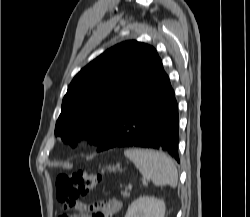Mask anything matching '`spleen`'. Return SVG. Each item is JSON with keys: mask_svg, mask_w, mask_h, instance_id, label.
Masks as SVG:
<instances>
[{"mask_svg": "<svg viewBox=\"0 0 250 217\" xmlns=\"http://www.w3.org/2000/svg\"><path fill=\"white\" fill-rule=\"evenodd\" d=\"M139 169L143 178L152 180L155 186L176 187L178 172L174 161L163 152L148 149L130 148L124 151Z\"/></svg>", "mask_w": 250, "mask_h": 217, "instance_id": "3e777b00", "label": "spleen"}]
</instances>
